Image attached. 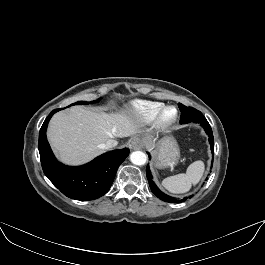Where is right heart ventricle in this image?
<instances>
[{
  "label": "right heart ventricle",
  "mask_w": 265,
  "mask_h": 265,
  "mask_svg": "<svg viewBox=\"0 0 265 265\" xmlns=\"http://www.w3.org/2000/svg\"><path fill=\"white\" fill-rule=\"evenodd\" d=\"M163 105L161 102L139 100L131 104L128 112L138 122L150 123L155 119Z\"/></svg>",
  "instance_id": "1"
}]
</instances>
